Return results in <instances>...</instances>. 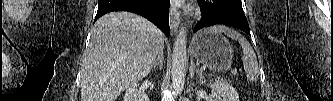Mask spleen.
<instances>
[{
    "label": "spleen",
    "instance_id": "spleen-1",
    "mask_svg": "<svg viewBox=\"0 0 333 101\" xmlns=\"http://www.w3.org/2000/svg\"><path fill=\"white\" fill-rule=\"evenodd\" d=\"M210 30L218 31L226 34L228 37L232 39L238 40L243 50V66L247 73V79L250 82H257L259 79V68L258 62L256 58V54L252 49L249 42L243 37L240 33L235 30H232L223 25H216L210 28Z\"/></svg>",
    "mask_w": 333,
    "mask_h": 101
}]
</instances>
